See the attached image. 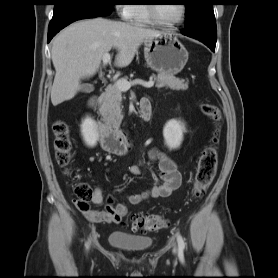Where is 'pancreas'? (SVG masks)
I'll use <instances>...</instances> for the list:
<instances>
[{"label":"pancreas","mask_w":278,"mask_h":278,"mask_svg":"<svg viewBox=\"0 0 278 278\" xmlns=\"http://www.w3.org/2000/svg\"><path fill=\"white\" fill-rule=\"evenodd\" d=\"M153 77L157 81V88L165 86L172 90H186L188 88V81L170 74L159 73ZM123 80H127V78H123ZM122 99V91L116 85L108 86L103 93L100 112L109 124L116 126L121 122L123 118ZM115 120H117V123Z\"/></svg>","instance_id":"cf45deb5"}]
</instances>
